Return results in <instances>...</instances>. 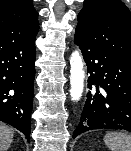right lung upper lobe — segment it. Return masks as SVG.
Masks as SVG:
<instances>
[{
	"label": "right lung upper lobe",
	"mask_w": 131,
	"mask_h": 151,
	"mask_svg": "<svg viewBox=\"0 0 131 151\" xmlns=\"http://www.w3.org/2000/svg\"><path fill=\"white\" fill-rule=\"evenodd\" d=\"M32 0H0V41L34 36L39 30Z\"/></svg>",
	"instance_id": "cb5924a9"
}]
</instances>
